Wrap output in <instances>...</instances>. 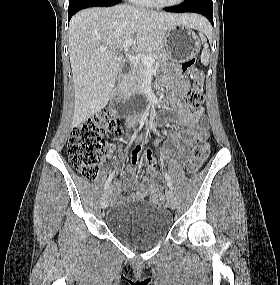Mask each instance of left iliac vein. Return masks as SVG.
Returning <instances> with one entry per match:
<instances>
[{"mask_svg":"<svg viewBox=\"0 0 280 285\" xmlns=\"http://www.w3.org/2000/svg\"><path fill=\"white\" fill-rule=\"evenodd\" d=\"M167 199H168V205L171 209H175L176 207V198L174 193L171 190L167 191Z\"/></svg>","mask_w":280,"mask_h":285,"instance_id":"1","label":"left iliac vein"}]
</instances>
